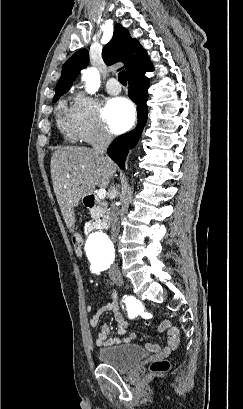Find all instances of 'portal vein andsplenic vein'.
<instances>
[{
  "label": "portal vein and splenic vein",
  "instance_id": "obj_1",
  "mask_svg": "<svg viewBox=\"0 0 243 409\" xmlns=\"http://www.w3.org/2000/svg\"><path fill=\"white\" fill-rule=\"evenodd\" d=\"M106 190L105 189H100L97 193V197L99 199H104L106 197Z\"/></svg>",
  "mask_w": 243,
  "mask_h": 409
}]
</instances>
